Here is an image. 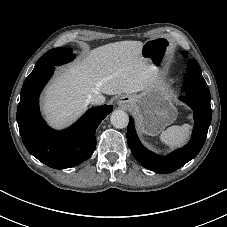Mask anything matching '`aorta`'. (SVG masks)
<instances>
[{"mask_svg": "<svg viewBox=\"0 0 227 227\" xmlns=\"http://www.w3.org/2000/svg\"><path fill=\"white\" fill-rule=\"evenodd\" d=\"M111 124L115 128H125L128 125L129 117L128 114L123 110H115L110 116Z\"/></svg>", "mask_w": 227, "mask_h": 227, "instance_id": "762f6f07", "label": "aorta"}]
</instances>
